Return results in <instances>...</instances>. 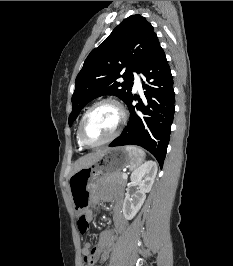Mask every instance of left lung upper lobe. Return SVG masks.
<instances>
[{"instance_id":"5c2ea615","label":"left lung upper lobe","mask_w":233,"mask_h":266,"mask_svg":"<svg viewBox=\"0 0 233 266\" xmlns=\"http://www.w3.org/2000/svg\"><path fill=\"white\" fill-rule=\"evenodd\" d=\"M157 45L159 41L153 27L139 14L129 16L115 27L107 39L90 52L77 75L69 125L88 102L99 96L115 95L126 103L132 96V72L140 73ZM120 77L124 82L118 81Z\"/></svg>"}]
</instances>
